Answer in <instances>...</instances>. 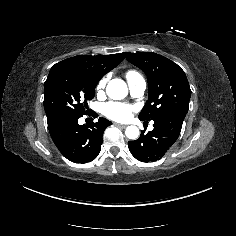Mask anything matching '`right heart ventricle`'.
Masks as SVG:
<instances>
[{
	"mask_svg": "<svg viewBox=\"0 0 236 236\" xmlns=\"http://www.w3.org/2000/svg\"><path fill=\"white\" fill-rule=\"evenodd\" d=\"M126 76H127L128 79H131L133 77L139 76V74L135 71H128Z\"/></svg>",
	"mask_w": 236,
	"mask_h": 236,
	"instance_id": "right-heart-ventricle-1",
	"label": "right heart ventricle"
}]
</instances>
